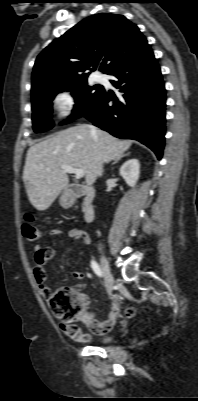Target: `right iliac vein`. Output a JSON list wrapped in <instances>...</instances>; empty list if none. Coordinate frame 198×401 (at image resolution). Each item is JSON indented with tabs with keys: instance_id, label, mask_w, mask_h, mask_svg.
Instances as JSON below:
<instances>
[{
	"instance_id": "obj_1",
	"label": "right iliac vein",
	"mask_w": 198,
	"mask_h": 401,
	"mask_svg": "<svg viewBox=\"0 0 198 401\" xmlns=\"http://www.w3.org/2000/svg\"><path fill=\"white\" fill-rule=\"evenodd\" d=\"M101 267H102V273H103L104 279H105L106 290H107L108 294H111L112 290H113L114 278H113V274L110 269L109 262L103 253H101Z\"/></svg>"
}]
</instances>
